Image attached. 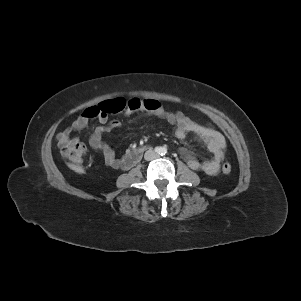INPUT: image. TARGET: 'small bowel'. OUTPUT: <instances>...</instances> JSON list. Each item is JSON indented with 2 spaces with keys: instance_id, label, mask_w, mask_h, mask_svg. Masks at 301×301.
<instances>
[{
  "instance_id": "obj_1",
  "label": "small bowel",
  "mask_w": 301,
  "mask_h": 301,
  "mask_svg": "<svg viewBox=\"0 0 301 301\" xmlns=\"http://www.w3.org/2000/svg\"><path fill=\"white\" fill-rule=\"evenodd\" d=\"M130 113L131 111L129 110L125 111L126 115ZM152 113L171 124L174 127L175 136L178 139L186 140L192 136L198 143L204 145L212 153L210 159L199 160L193 152L186 148H181L180 154L189 167L210 175L219 172L226 151V140L222 134L210 125L198 124L182 112H169L161 107L159 111ZM90 119L91 118L87 117L84 113L78 116L67 129L57 134L56 139L58 144L64 146L79 141L77 137L73 136V132L87 127ZM118 125V122H108L107 117L101 115L97 117V125L89 139L91 147L100 152L105 163L114 169L125 168L124 157H117L114 150L104 141V135Z\"/></svg>"
}]
</instances>
